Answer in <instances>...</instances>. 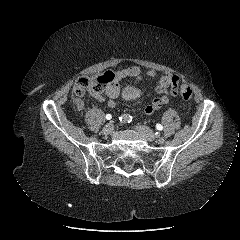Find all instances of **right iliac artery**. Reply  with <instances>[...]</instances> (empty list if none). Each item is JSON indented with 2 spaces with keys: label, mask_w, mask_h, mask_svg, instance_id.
Instances as JSON below:
<instances>
[{
  "label": "right iliac artery",
  "mask_w": 240,
  "mask_h": 240,
  "mask_svg": "<svg viewBox=\"0 0 240 240\" xmlns=\"http://www.w3.org/2000/svg\"><path fill=\"white\" fill-rule=\"evenodd\" d=\"M121 123H130L132 121V116L129 114H123L119 117Z\"/></svg>",
  "instance_id": "1"
}]
</instances>
